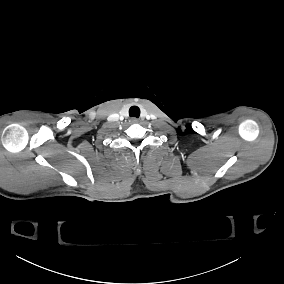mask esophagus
I'll use <instances>...</instances> for the list:
<instances>
[{
	"instance_id": "esophagus-1",
	"label": "esophagus",
	"mask_w": 284,
	"mask_h": 284,
	"mask_svg": "<svg viewBox=\"0 0 284 284\" xmlns=\"http://www.w3.org/2000/svg\"><path fill=\"white\" fill-rule=\"evenodd\" d=\"M131 122H132V123H137V122H138V119H137L136 117H132V118H131Z\"/></svg>"
}]
</instances>
